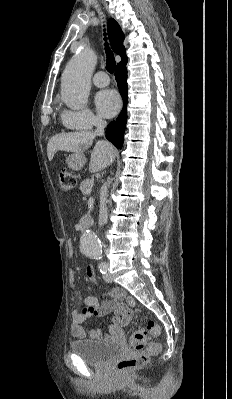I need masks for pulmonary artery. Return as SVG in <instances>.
Instances as JSON below:
<instances>
[{"instance_id":"obj_1","label":"pulmonary artery","mask_w":232,"mask_h":399,"mask_svg":"<svg viewBox=\"0 0 232 399\" xmlns=\"http://www.w3.org/2000/svg\"><path fill=\"white\" fill-rule=\"evenodd\" d=\"M94 83L96 85L95 90H103L109 84V77L107 73H104L103 69L97 70V77H94Z\"/></svg>"}]
</instances>
